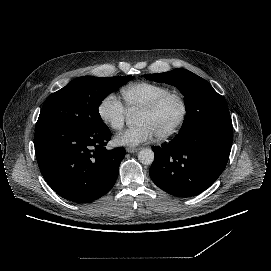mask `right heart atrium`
Masks as SVG:
<instances>
[{
    "label": "right heart atrium",
    "mask_w": 271,
    "mask_h": 271,
    "mask_svg": "<svg viewBox=\"0 0 271 271\" xmlns=\"http://www.w3.org/2000/svg\"><path fill=\"white\" fill-rule=\"evenodd\" d=\"M97 114L104 124L117 132L123 129L128 110L114 92H109L100 100Z\"/></svg>",
    "instance_id": "obj_1"
}]
</instances>
